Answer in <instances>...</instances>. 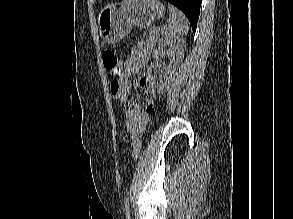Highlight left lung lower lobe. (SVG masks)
<instances>
[{
    "mask_svg": "<svg viewBox=\"0 0 293 219\" xmlns=\"http://www.w3.org/2000/svg\"><path fill=\"white\" fill-rule=\"evenodd\" d=\"M179 8L188 18L193 32L196 31L202 0H168Z\"/></svg>",
    "mask_w": 293,
    "mask_h": 219,
    "instance_id": "obj_1",
    "label": "left lung lower lobe"
}]
</instances>
